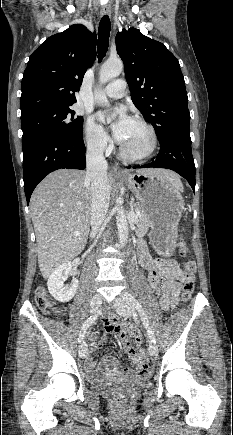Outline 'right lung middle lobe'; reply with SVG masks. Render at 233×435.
<instances>
[{
  "label": "right lung middle lobe",
  "mask_w": 233,
  "mask_h": 435,
  "mask_svg": "<svg viewBox=\"0 0 233 435\" xmlns=\"http://www.w3.org/2000/svg\"><path fill=\"white\" fill-rule=\"evenodd\" d=\"M21 128L22 142L46 134L76 140L83 136V117L70 106L47 107L22 115Z\"/></svg>",
  "instance_id": "obj_1"
}]
</instances>
